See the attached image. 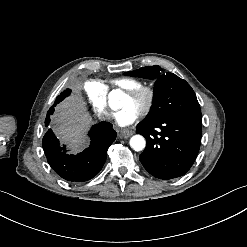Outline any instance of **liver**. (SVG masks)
Returning a JSON list of instances; mask_svg holds the SVG:
<instances>
[{
  "mask_svg": "<svg viewBox=\"0 0 247 247\" xmlns=\"http://www.w3.org/2000/svg\"><path fill=\"white\" fill-rule=\"evenodd\" d=\"M71 93L54 108L52 134L69 155H77L89 146L88 132L95 124L82 94L84 84L69 86Z\"/></svg>",
  "mask_w": 247,
  "mask_h": 247,
  "instance_id": "1",
  "label": "liver"
}]
</instances>
